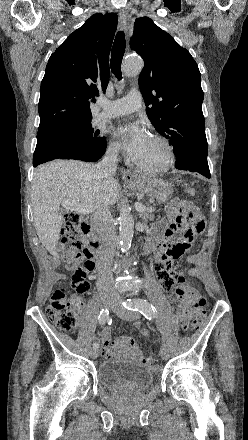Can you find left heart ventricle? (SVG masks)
<instances>
[{
	"mask_svg": "<svg viewBox=\"0 0 248 440\" xmlns=\"http://www.w3.org/2000/svg\"><path fill=\"white\" fill-rule=\"evenodd\" d=\"M163 157V148L159 143L151 138L146 151L144 152L142 157L138 161H136V163L147 167H154L162 162Z\"/></svg>",
	"mask_w": 248,
	"mask_h": 440,
	"instance_id": "left-heart-ventricle-1",
	"label": "left heart ventricle"
}]
</instances>
